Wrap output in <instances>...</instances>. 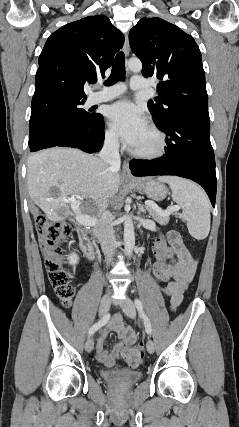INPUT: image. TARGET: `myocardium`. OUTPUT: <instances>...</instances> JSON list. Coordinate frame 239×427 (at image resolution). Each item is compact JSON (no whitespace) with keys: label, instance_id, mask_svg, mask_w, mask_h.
<instances>
[{"label":"myocardium","instance_id":"obj_1","mask_svg":"<svg viewBox=\"0 0 239 427\" xmlns=\"http://www.w3.org/2000/svg\"><path fill=\"white\" fill-rule=\"evenodd\" d=\"M148 128L155 134L157 143L156 146L151 150H137L134 148H129V152L140 159L154 160L162 157L167 148V139L165 133L154 123L149 122L147 124Z\"/></svg>","mask_w":239,"mask_h":427}]
</instances>
